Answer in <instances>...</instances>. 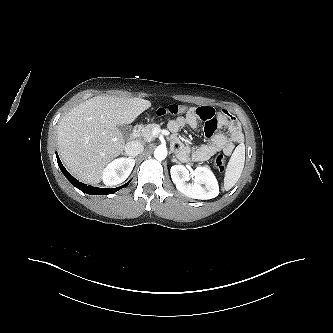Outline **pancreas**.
Masks as SVG:
<instances>
[{"instance_id": "pancreas-1", "label": "pancreas", "mask_w": 333, "mask_h": 333, "mask_svg": "<svg viewBox=\"0 0 333 333\" xmlns=\"http://www.w3.org/2000/svg\"><path fill=\"white\" fill-rule=\"evenodd\" d=\"M158 127H159L158 124L152 123V124H148L145 127L140 128L139 129V138H143L147 142L152 141L155 137L152 134V132L155 128H158Z\"/></svg>"}]
</instances>
